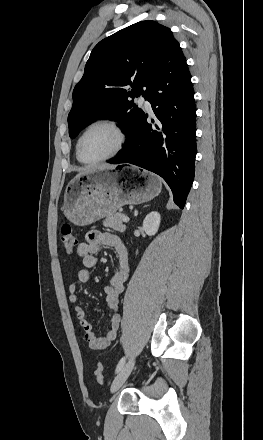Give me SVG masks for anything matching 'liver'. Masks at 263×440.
Listing matches in <instances>:
<instances>
[{
  "label": "liver",
  "instance_id": "6515ba94",
  "mask_svg": "<svg viewBox=\"0 0 263 440\" xmlns=\"http://www.w3.org/2000/svg\"><path fill=\"white\" fill-rule=\"evenodd\" d=\"M113 168H114V166L105 164V165L99 166L97 169H113ZM84 172H86V171H84ZM84 172H82V173H84ZM82 173H80V174H82Z\"/></svg>",
  "mask_w": 263,
  "mask_h": 440
}]
</instances>
